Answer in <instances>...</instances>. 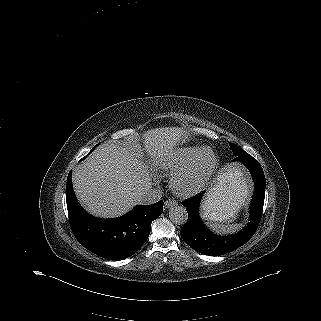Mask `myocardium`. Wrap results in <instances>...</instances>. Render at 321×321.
Segmentation results:
<instances>
[{
	"label": "myocardium",
	"mask_w": 321,
	"mask_h": 321,
	"mask_svg": "<svg viewBox=\"0 0 321 321\" xmlns=\"http://www.w3.org/2000/svg\"><path fill=\"white\" fill-rule=\"evenodd\" d=\"M204 153H209L211 160L204 169L200 168V160ZM216 155L212 148L202 147L191 162L183 169L175 172L169 181L171 190L179 196L187 197L200 191L212 176L216 166Z\"/></svg>",
	"instance_id": "obj_1"
}]
</instances>
